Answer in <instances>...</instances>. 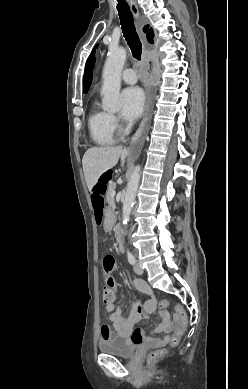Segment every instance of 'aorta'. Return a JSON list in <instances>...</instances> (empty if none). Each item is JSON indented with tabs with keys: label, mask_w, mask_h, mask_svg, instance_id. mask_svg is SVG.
Listing matches in <instances>:
<instances>
[{
	"label": "aorta",
	"mask_w": 248,
	"mask_h": 389,
	"mask_svg": "<svg viewBox=\"0 0 248 389\" xmlns=\"http://www.w3.org/2000/svg\"><path fill=\"white\" fill-rule=\"evenodd\" d=\"M126 60V50L122 47L111 48L103 69V85L101 95L103 97V109L117 111L121 107L120 88L121 73ZM140 166H136L127 184L125 199L123 202V224L127 225L130 218L133 202L136 197L140 182Z\"/></svg>",
	"instance_id": "obj_1"
}]
</instances>
